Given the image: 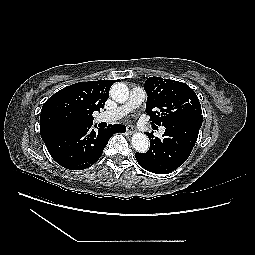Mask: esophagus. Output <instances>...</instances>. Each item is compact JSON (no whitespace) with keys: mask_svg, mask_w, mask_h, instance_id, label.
Returning a JSON list of instances; mask_svg holds the SVG:
<instances>
[{"mask_svg":"<svg viewBox=\"0 0 255 255\" xmlns=\"http://www.w3.org/2000/svg\"><path fill=\"white\" fill-rule=\"evenodd\" d=\"M126 130L128 134H132L135 131V128L132 125H127Z\"/></svg>","mask_w":255,"mask_h":255,"instance_id":"1","label":"esophagus"}]
</instances>
